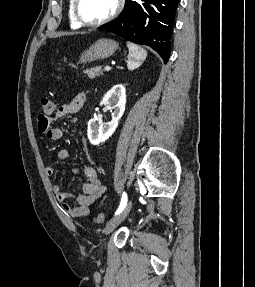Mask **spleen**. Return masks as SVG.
Masks as SVG:
<instances>
[{
    "instance_id": "1",
    "label": "spleen",
    "mask_w": 255,
    "mask_h": 287,
    "mask_svg": "<svg viewBox=\"0 0 255 287\" xmlns=\"http://www.w3.org/2000/svg\"><path fill=\"white\" fill-rule=\"evenodd\" d=\"M127 48L129 50L127 68L128 70H134V68H139L143 64L144 60L147 58L146 50L137 46V44H131L127 42Z\"/></svg>"
}]
</instances>
